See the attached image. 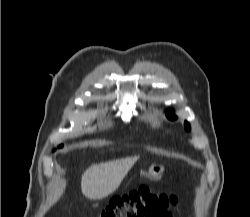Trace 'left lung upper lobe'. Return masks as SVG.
Masks as SVG:
<instances>
[{"mask_svg":"<svg viewBox=\"0 0 250 217\" xmlns=\"http://www.w3.org/2000/svg\"><path fill=\"white\" fill-rule=\"evenodd\" d=\"M166 115H167V117L169 118V119H171V120H176L177 119V117L174 115V111L172 110V109H170V110H167L166 111ZM184 126H185V129L187 130V131H190V124L187 122V121H185V123H184Z\"/></svg>","mask_w":250,"mask_h":217,"instance_id":"1","label":"left lung upper lobe"}]
</instances>
